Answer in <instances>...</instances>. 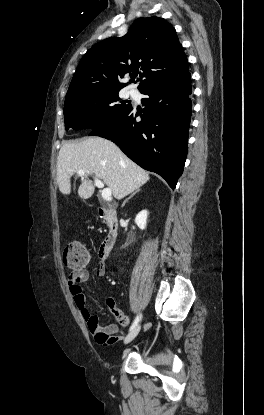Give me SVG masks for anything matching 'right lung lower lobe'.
Listing matches in <instances>:
<instances>
[{"label":"right lung lower lobe","instance_id":"right-lung-lower-lobe-1","mask_svg":"<svg viewBox=\"0 0 264 415\" xmlns=\"http://www.w3.org/2000/svg\"><path fill=\"white\" fill-rule=\"evenodd\" d=\"M144 113L133 107L111 122L93 129L90 136H100L116 143L142 168L162 176L174 189L183 173L188 148L192 102L191 75L152 84L140 91Z\"/></svg>","mask_w":264,"mask_h":415}]
</instances>
